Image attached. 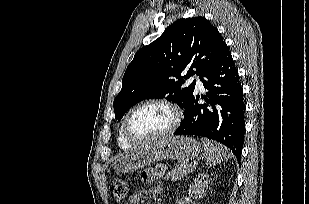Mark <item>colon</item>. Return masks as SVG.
<instances>
[{
	"label": "colon",
	"instance_id": "obj_1",
	"mask_svg": "<svg viewBox=\"0 0 309 204\" xmlns=\"http://www.w3.org/2000/svg\"><path fill=\"white\" fill-rule=\"evenodd\" d=\"M128 187V182L121 178H116L111 182L110 190L115 201L122 202L126 198Z\"/></svg>",
	"mask_w": 309,
	"mask_h": 204
}]
</instances>
